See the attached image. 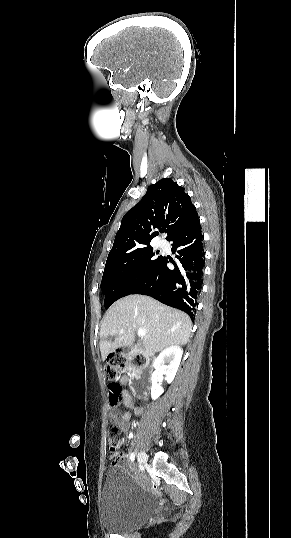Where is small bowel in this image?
<instances>
[{
  "instance_id": "c3829d8e",
  "label": "small bowel",
  "mask_w": 291,
  "mask_h": 538,
  "mask_svg": "<svg viewBox=\"0 0 291 538\" xmlns=\"http://www.w3.org/2000/svg\"><path fill=\"white\" fill-rule=\"evenodd\" d=\"M129 383H130V378L127 376H123L122 378L119 379V385L121 387L120 403L115 407H111V411L109 414L111 421L117 424L124 433L128 429V422L131 419V412L137 415H140L143 412V409L141 407H138L133 403L132 398L130 394L128 393V391L122 388L123 386H126ZM120 406L124 407L126 411L120 413L119 412ZM115 460L120 465H127L129 462V459L125 454L116 455Z\"/></svg>"
}]
</instances>
